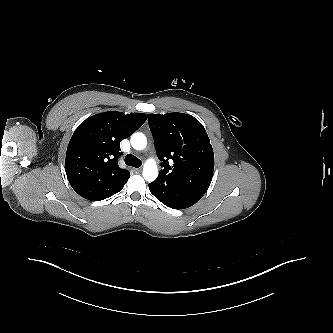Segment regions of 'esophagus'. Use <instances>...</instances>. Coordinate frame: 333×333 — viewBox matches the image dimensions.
Segmentation results:
<instances>
[{"label": "esophagus", "instance_id": "obj_1", "mask_svg": "<svg viewBox=\"0 0 333 333\" xmlns=\"http://www.w3.org/2000/svg\"><path fill=\"white\" fill-rule=\"evenodd\" d=\"M134 171L137 172V173H139V172L142 171V168H135Z\"/></svg>", "mask_w": 333, "mask_h": 333}]
</instances>
